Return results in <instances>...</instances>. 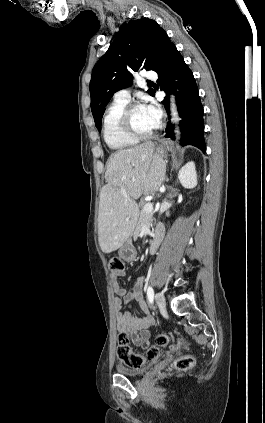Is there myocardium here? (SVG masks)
<instances>
[{"mask_svg": "<svg viewBox=\"0 0 265 423\" xmlns=\"http://www.w3.org/2000/svg\"><path fill=\"white\" fill-rule=\"evenodd\" d=\"M140 107H143V105L139 102L127 104L120 115V127L122 131L129 137L134 138L136 140H145L152 137L155 134V132L159 128V124L155 127V129H153L150 132H146V133L138 132L132 124L131 114L135 109Z\"/></svg>", "mask_w": 265, "mask_h": 423, "instance_id": "myocardium-1", "label": "myocardium"}]
</instances>
